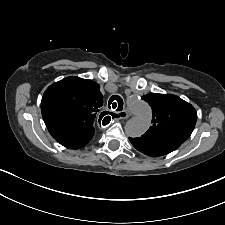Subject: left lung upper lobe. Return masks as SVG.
I'll list each match as a JSON object with an SVG mask.
<instances>
[{"instance_id": "obj_1", "label": "left lung upper lobe", "mask_w": 225, "mask_h": 225, "mask_svg": "<svg viewBox=\"0 0 225 225\" xmlns=\"http://www.w3.org/2000/svg\"><path fill=\"white\" fill-rule=\"evenodd\" d=\"M142 99L152 108V125L141 137L180 144L189 138L197 120L191 104L172 94L150 93Z\"/></svg>"}]
</instances>
